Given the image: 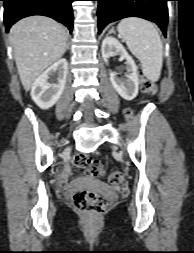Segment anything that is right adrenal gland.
Instances as JSON below:
<instances>
[{
	"label": "right adrenal gland",
	"instance_id": "1",
	"mask_svg": "<svg viewBox=\"0 0 194 253\" xmlns=\"http://www.w3.org/2000/svg\"><path fill=\"white\" fill-rule=\"evenodd\" d=\"M68 49H69V42L66 45V50H68Z\"/></svg>",
	"mask_w": 194,
	"mask_h": 253
}]
</instances>
